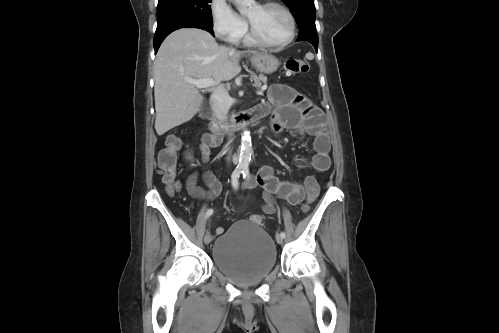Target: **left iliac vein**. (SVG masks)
<instances>
[{"label":"left iliac vein","instance_id":"left-iliac-vein-1","mask_svg":"<svg viewBox=\"0 0 499 333\" xmlns=\"http://www.w3.org/2000/svg\"><path fill=\"white\" fill-rule=\"evenodd\" d=\"M276 241L278 244H282L283 243V237H281V235H276Z\"/></svg>","mask_w":499,"mask_h":333}]
</instances>
